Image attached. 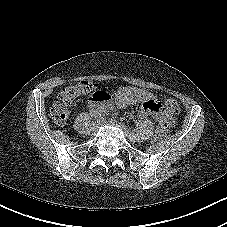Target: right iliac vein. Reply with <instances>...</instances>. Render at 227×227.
Returning <instances> with one entry per match:
<instances>
[{
	"mask_svg": "<svg viewBox=\"0 0 227 227\" xmlns=\"http://www.w3.org/2000/svg\"><path fill=\"white\" fill-rule=\"evenodd\" d=\"M98 128H99V123L98 122L97 123H93L92 126H91L92 133H96Z\"/></svg>",
	"mask_w": 227,
	"mask_h": 227,
	"instance_id": "obj_1",
	"label": "right iliac vein"
}]
</instances>
